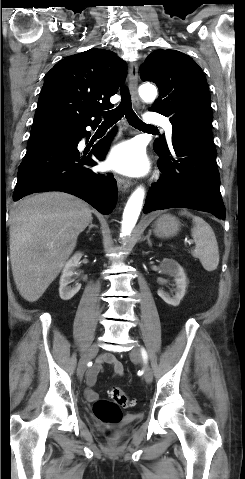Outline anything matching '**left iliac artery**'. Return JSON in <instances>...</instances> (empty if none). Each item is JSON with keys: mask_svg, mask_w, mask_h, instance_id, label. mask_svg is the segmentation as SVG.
Segmentation results:
<instances>
[{"mask_svg": "<svg viewBox=\"0 0 245 479\" xmlns=\"http://www.w3.org/2000/svg\"><path fill=\"white\" fill-rule=\"evenodd\" d=\"M141 352H142V355H143L144 359H147V353H146L145 349L142 348Z\"/></svg>", "mask_w": 245, "mask_h": 479, "instance_id": "obj_1", "label": "left iliac artery"}]
</instances>
